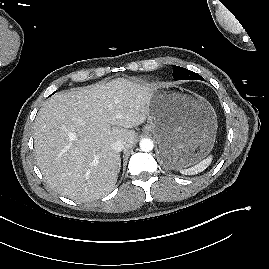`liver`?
<instances>
[{"mask_svg":"<svg viewBox=\"0 0 269 269\" xmlns=\"http://www.w3.org/2000/svg\"><path fill=\"white\" fill-rule=\"evenodd\" d=\"M153 85L124 78L59 92L34 122L37 165L55 192L79 202L97 200L117 182L121 158L111 144L131 148L143 124Z\"/></svg>","mask_w":269,"mask_h":269,"instance_id":"liver-1","label":"liver"}]
</instances>
